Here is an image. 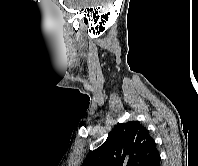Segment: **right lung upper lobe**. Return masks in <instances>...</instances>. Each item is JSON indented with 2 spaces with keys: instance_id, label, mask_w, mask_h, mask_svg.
I'll list each match as a JSON object with an SVG mask.
<instances>
[{
  "instance_id": "1",
  "label": "right lung upper lobe",
  "mask_w": 198,
  "mask_h": 166,
  "mask_svg": "<svg viewBox=\"0 0 198 166\" xmlns=\"http://www.w3.org/2000/svg\"><path fill=\"white\" fill-rule=\"evenodd\" d=\"M157 154L148 130L138 121H130L117 125L82 166H148Z\"/></svg>"
}]
</instances>
